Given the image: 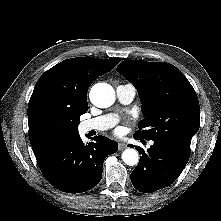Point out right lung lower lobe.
I'll return each instance as SVG.
<instances>
[{
  "mask_svg": "<svg viewBox=\"0 0 221 221\" xmlns=\"http://www.w3.org/2000/svg\"><path fill=\"white\" fill-rule=\"evenodd\" d=\"M92 140L84 144L77 134L37 155L46 180L67 193L85 192L96 186L102 177L105 158L117 151L118 144L101 135Z\"/></svg>",
  "mask_w": 221,
  "mask_h": 221,
  "instance_id": "right-lung-lower-lobe-1",
  "label": "right lung lower lobe"
}]
</instances>
